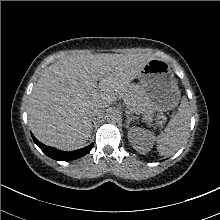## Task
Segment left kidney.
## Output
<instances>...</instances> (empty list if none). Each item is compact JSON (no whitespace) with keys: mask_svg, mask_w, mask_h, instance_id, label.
<instances>
[{"mask_svg":"<svg viewBox=\"0 0 220 220\" xmlns=\"http://www.w3.org/2000/svg\"><path fill=\"white\" fill-rule=\"evenodd\" d=\"M154 138L151 132L145 131L142 128L132 127L128 131V139L132 147L140 154H146L151 150Z\"/></svg>","mask_w":220,"mask_h":220,"instance_id":"obj_1","label":"left kidney"}]
</instances>
